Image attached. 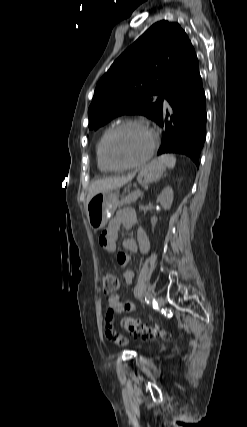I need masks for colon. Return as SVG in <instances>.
I'll return each mask as SVG.
<instances>
[{"label": "colon", "mask_w": 247, "mask_h": 427, "mask_svg": "<svg viewBox=\"0 0 247 427\" xmlns=\"http://www.w3.org/2000/svg\"><path fill=\"white\" fill-rule=\"evenodd\" d=\"M119 287L118 278L111 273L103 276L102 289L104 294H112ZM122 327L130 333L141 334L160 339H167L170 337L169 332L163 329L149 328L134 317H126L121 321Z\"/></svg>", "instance_id": "obj_1"}]
</instances>
